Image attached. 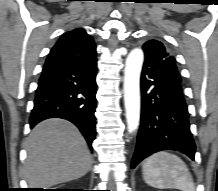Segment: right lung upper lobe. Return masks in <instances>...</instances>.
I'll list each match as a JSON object with an SVG mask.
<instances>
[{
  "label": "right lung upper lobe",
  "mask_w": 218,
  "mask_h": 191,
  "mask_svg": "<svg viewBox=\"0 0 218 191\" xmlns=\"http://www.w3.org/2000/svg\"><path fill=\"white\" fill-rule=\"evenodd\" d=\"M67 35H71V36H75V37H79V38H92L91 36H89L86 31L82 28L79 29H75L72 30L70 32L65 33Z\"/></svg>",
  "instance_id": "1"
}]
</instances>
